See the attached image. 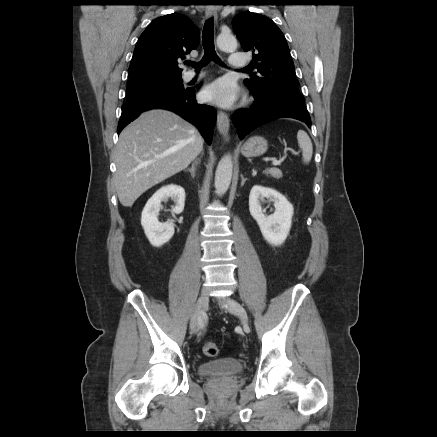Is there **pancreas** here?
<instances>
[{
    "mask_svg": "<svg viewBox=\"0 0 437 437\" xmlns=\"http://www.w3.org/2000/svg\"><path fill=\"white\" fill-rule=\"evenodd\" d=\"M265 174H269L276 179L282 178V172L277 168H271L265 171Z\"/></svg>",
    "mask_w": 437,
    "mask_h": 437,
    "instance_id": "1",
    "label": "pancreas"
}]
</instances>
